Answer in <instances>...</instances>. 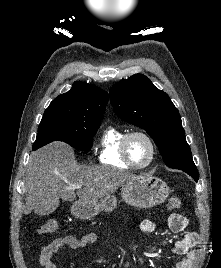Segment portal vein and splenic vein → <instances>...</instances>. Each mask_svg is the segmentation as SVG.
<instances>
[{"instance_id":"portal-vein-and-splenic-vein-1","label":"portal vein and splenic vein","mask_w":221,"mask_h":268,"mask_svg":"<svg viewBox=\"0 0 221 268\" xmlns=\"http://www.w3.org/2000/svg\"><path fill=\"white\" fill-rule=\"evenodd\" d=\"M72 187L75 188V189H79V188L82 187V185L81 184H76V185H73Z\"/></svg>"}]
</instances>
